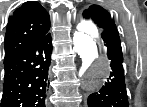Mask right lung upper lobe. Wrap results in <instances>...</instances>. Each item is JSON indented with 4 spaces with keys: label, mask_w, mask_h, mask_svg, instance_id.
I'll list each match as a JSON object with an SVG mask.
<instances>
[{
    "label": "right lung upper lobe",
    "mask_w": 147,
    "mask_h": 107,
    "mask_svg": "<svg viewBox=\"0 0 147 107\" xmlns=\"http://www.w3.org/2000/svg\"><path fill=\"white\" fill-rule=\"evenodd\" d=\"M48 12L36 1H27L9 18L5 34V58L48 34Z\"/></svg>",
    "instance_id": "right-lung-upper-lobe-1"
}]
</instances>
